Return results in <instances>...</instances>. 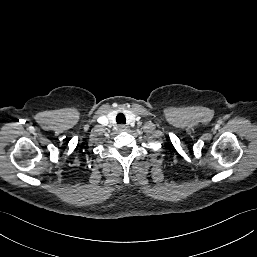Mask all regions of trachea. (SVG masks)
<instances>
[{
	"mask_svg": "<svg viewBox=\"0 0 257 257\" xmlns=\"http://www.w3.org/2000/svg\"><path fill=\"white\" fill-rule=\"evenodd\" d=\"M116 122H117V124H125L126 123L125 115L123 113H119L116 116Z\"/></svg>",
	"mask_w": 257,
	"mask_h": 257,
	"instance_id": "1",
	"label": "trachea"
}]
</instances>
